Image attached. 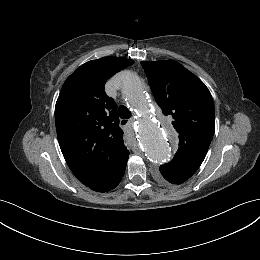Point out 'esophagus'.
Instances as JSON below:
<instances>
[{
  "mask_svg": "<svg viewBox=\"0 0 260 260\" xmlns=\"http://www.w3.org/2000/svg\"><path fill=\"white\" fill-rule=\"evenodd\" d=\"M127 123H128V121H127L126 119H122V120L120 121V125H121L122 127L125 126Z\"/></svg>",
  "mask_w": 260,
  "mask_h": 260,
  "instance_id": "34e87169",
  "label": "esophagus"
}]
</instances>
